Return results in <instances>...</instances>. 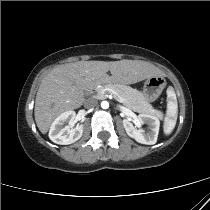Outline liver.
I'll return each instance as SVG.
<instances>
[{
  "mask_svg": "<svg viewBox=\"0 0 210 210\" xmlns=\"http://www.w3.org/2000/svg\"><path fill=\"white\" fill-rule=\"evenodd\" d=\"M159 75L158 68L139 60L78 61L56 67L43 78L37 91L36 125L46 134L57 116L84 103V90L106 83L134 84Z\"/></svg>",
  "mask_w": 210,
  "mask_h": 210,
  "instance_id": "1",
  "label": "liver"
}]
</instances>
